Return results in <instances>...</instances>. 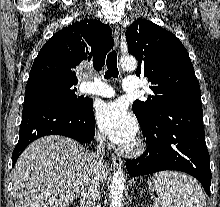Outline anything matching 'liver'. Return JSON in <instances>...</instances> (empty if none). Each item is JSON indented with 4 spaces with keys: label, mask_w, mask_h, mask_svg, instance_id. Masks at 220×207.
Segmentation results:
<instances>
[{
    "label": "liver",
    "mask_w": 220,
    "mask_h": 207,
    "mask_svg": "<svg viewBox=\"0 0 220 207\" xmlns=\"http://www.w3.org/2000/svg\"><path fill=\"white\" fill-rule=\"evenodd\" d=\"M89 154L75 140L58 135L31 143L14 167L15 207H67L81 194L90 170ZM107 174L103 166L100 181Z\"/></svg>",
    "instance_id": "6515ba94"
}]
</instances>
